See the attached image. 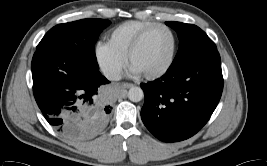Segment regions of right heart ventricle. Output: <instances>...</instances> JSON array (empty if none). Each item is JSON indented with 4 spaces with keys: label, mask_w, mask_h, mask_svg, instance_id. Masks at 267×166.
Wrapping results in <instances>:
<instances>
[{
    "label": "right heart ventricle",
    "mask_w": 267,
    "mask_h": 166,
    "mask_svg": "<svg viewBox=\"0 0 267 166\" xmlns=\"http://www.w3.org/2000/svg\"><path fill=\"white\" fill-rule=\"evenodd\" d=\"M156 25L155 22L132 20L116 27L110 34L109 44L122 56L127 55L134 41L146 30Z\"/></svg>",
    "instance_id": "obj_1"
}]
</instances>
